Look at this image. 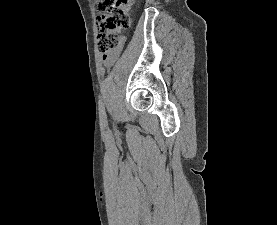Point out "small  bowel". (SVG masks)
<instances>
[{"instance_id": "obj_1", "label": "small bowel", "mask_w": 277, "mask_h": 225, "mask_svg": "<svg viewBox=\"0 0 277 225\" xmlns=\"http://www.w3.org/2000/svg\"><path fill=\"white\" fill-rule=\"evenodd\" d=\"M117 57H118V54L104 55L102 57V60L107 66H109L114 63Z\"/></svg>"}]
</instances>
